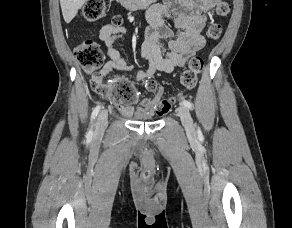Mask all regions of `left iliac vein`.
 Instances as JSON below:
<instances>
[{
	"mask_svg": "<svg viewBox=\"0 0 292 228\" xmlns=\"http://www.w3.org/2000/svg\"><path fill=\"white\" fill-rule=\"evenodd\" d=\"M178 115L187 133L194 135L195 128L189 110L185 106L181 105L178 107Z\"/></svg>",
	"mask_w": 292,
	"mask_h": 228,
	"instance_id": "4c4485c4",
	"label": "left iliac vein"
}]
</instances>
